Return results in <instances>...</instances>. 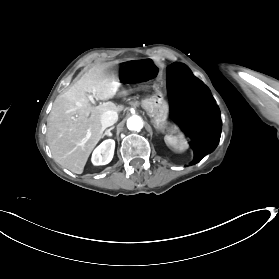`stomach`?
<instances>
[{
  "label": "stomach",
  "instance_id": "1",
  "mask_svg": "<svg viewBox=\"0 0 279 279\" xmlns=\"http://www.w3.org/2000/svg\"><path fill=\"white\" fill-rule=\"evenodd\" d=\"M148 113L152 117L153 124L164 132L172 133L179 128V117L170 102L164 97H153L148 104Z\"/></svg>",
  "mask_w": 279,
  "mask_h": 279
}]
</instances>
